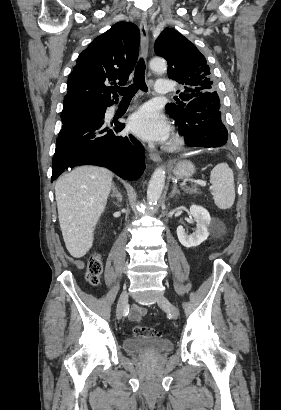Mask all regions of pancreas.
Wrapping results in <instances>:
<instances>
[{
  "label": "pancreas",
  "mask_w": 281,
  "mask_h": 410,
  "mask_svg": "<svg viewBox=\"0 0 281 410\" xmlns=\"http://www.w3.org/2000/svg\"><path fill=\"white\" fill-rule=\"evenodd\" d=\"M185 191L189 194H194V196H198L201 192L198 190L197 187H187Z\"/></svg>",
  "instance_id": "1"
}]
</instances>
